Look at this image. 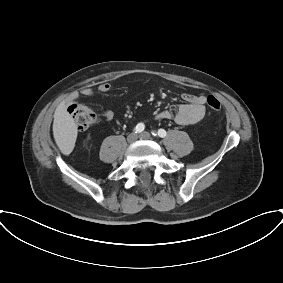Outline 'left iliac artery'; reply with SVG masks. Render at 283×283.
Masks as SVG:
<instances>
[{
	"mask_svg": "<svg viewBox=\"0 0 283 283\" xmlns=\"http://www.w3.org/2000/svg\"><path fill=\"white\" fill-rule=\"evenodd\" d=\"M166 131L164 129H159L157 132H152V135L159 136L161 138H164L166 136Z\"/></svg>",
	"mask_w": 283,
	"mask_h": 283,
	"instance_id": "left-iliac-artery-1",
	"label": "left iliac artery"
}]
</instances>
